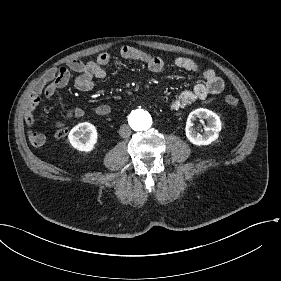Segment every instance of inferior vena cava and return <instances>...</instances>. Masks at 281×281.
Segmentation results:
<instances>
[{
    "mask_svg": "<svg viewBox=\"0 0 281 281\" xmlns=\"http://www.w3.org/2000/svg\"><path fill=\"white\" fill-rule=\"evenodd\" d=\"M119 134H120V136H121L122 138H127V137H129L130 134H131V129H130V127H129L128 125H125V124L121 125V126H120V129H119Z\"/></svg>",
    "mask_w": 281,
    "mask_h": 281,
    "instance_id": "obj_1",
    "label": "inferior vena cava"
}]
</instances>
